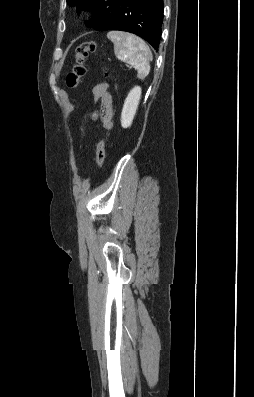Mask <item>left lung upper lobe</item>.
<instances>
[{
	"instance_id": "left-lung-upper-lobe-1",
	"label": "left lung upper lobe",
	"mask_w": 254,
	"mask_h": 397,
	"mask_svg": "<svg viewBox=\"0 0 254 397\" xmlns=\"http://www.w3.org/2000/svg\"><path fill=\"white\" fill-rule=\"evenodd\" d=\"M107 0H67L71 6H75L76 10L90 9L93 12L91 21L85 22L87 27H96L102 20L103 13L106 9Z\"/></svg>"
}]
</instances>
